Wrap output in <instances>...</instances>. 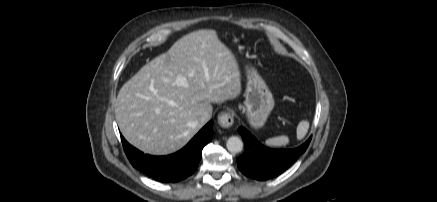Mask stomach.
Instances as JSON below:
<instances>
[{
    "label": "stomach",
    "instance_id": "1",
    "mask_svg": "<svg viewBox=\"0 0 437 202\" xmlns=\"http://www.w3.org/2000/svg\"><path fill=\"white\" fill-rule=\"evenodd\" d=\"M245 101L242 107L251 127L261 128L274 108V99L264 80L255 69L247 70Z\"/></svg>",
    "mask_w": 437,
    "mask_h": 202
}]
</instances>
